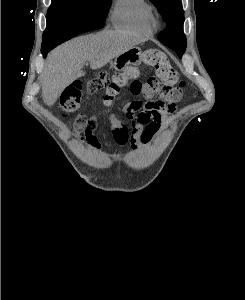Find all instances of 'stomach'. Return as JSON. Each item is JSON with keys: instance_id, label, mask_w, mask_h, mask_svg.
I'll return each instance as SVG.
<instances>
[{"instance_id": "obj_1", "label": "stomach", "mask_w": 245, "mask_h": 300, "mask_svg": "<svg viewBox=\"0 0 245 300\" xmlns=\"http://www.w3.org/2000/svg\"><path fill=\"white\" fill-rule=\"evenodd\" d=\"M142 59V52L139 47H132L115 57L113 67L117 71H122L129 65H139Z\"/></svg>"}]
</instances>
